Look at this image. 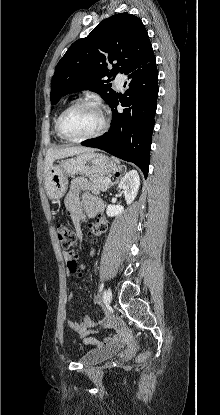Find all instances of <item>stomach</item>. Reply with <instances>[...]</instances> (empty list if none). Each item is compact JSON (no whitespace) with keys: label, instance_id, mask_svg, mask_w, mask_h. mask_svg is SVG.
<instances>
[{"label":"stomach","instance_id":"obj_1","mask_svg":"<svg viewBox=\"0 0 220 415\" xmlns=\"http://www.w3.org/2000/svg\"><path fill=\"white\" fill-rule=\"evenodd\" d=\"M120 171V167L108 156L94 150L78 154L74 158L62 160L59 166H52L45 177V187L49 198L60 199L68 187V177L83 174L90 177H103Z\"/></svg>","mask_w":220,"mask_h":415}]
</instances>
